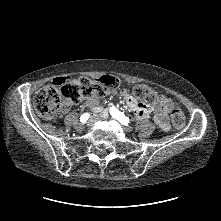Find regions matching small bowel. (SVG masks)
Masks as SVG:
<instances>
[{"label":"small bowel","mask_w":221,"mask_h":221,"mask_svg":"<svg viewBox=\"0 0 221 221\" xmlns=\"http://www.w3.org/2000/svg\"><path fill=\"white\" fill-rule=\"evenodd\" d=\"M67 83L66 77L53 78V85H64ZM121 96L126 102V107L135 113L136 117L140 120L148 118L151 112L154 113V121L162 131L169 130L168 113L170 108L174 105L172 100L160 95L153 106L145 103L138 102L127 90L120 91ZM84 105L92 108V115L94 117H105L106 112L100 106H98V98L91 96L87 98ZM69 104L66 105V108Z\"/></svg>","instance_id":"c3829d8e"}]
</instances>
